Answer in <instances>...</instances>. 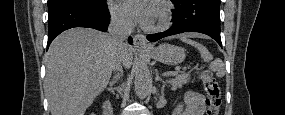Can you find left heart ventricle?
<instances>
[{
	"label": "left heart ventricle",
	"mask_w": 285,
	"mask_h": 115,
	"mask_svg": "<svg viewBox=\"0 0 285 115\" xmlns=\"http://www.w3.org/2000/svg\"><path fill=\"white\" fill-rule=\"evenodd\" d=\"M158 17H159V12H158L157 8H155V13H154L152 25L158 21Z\"/></svg>",
	"instance_id": "obj_1"
}]
</instances>
